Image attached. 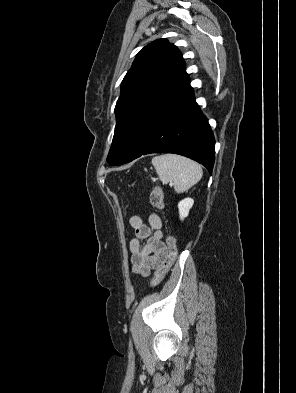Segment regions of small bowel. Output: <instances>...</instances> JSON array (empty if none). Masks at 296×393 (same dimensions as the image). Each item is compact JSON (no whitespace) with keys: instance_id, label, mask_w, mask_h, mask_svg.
I'll use <instances>...</instances> for the list:
<instances>
[{"instance_id":"c3829d8e","label":"small bowel","mask_w":296,"mask_h":393,"mask_svg":"<svg viewBox=\"0 0 296 393\" xmlns=\"http://www.w3.org/2000/svg\"><path fill=\"white\" fill-rule=\"evenodd\" d=\"M148 221L149 225L138 215L129 218L135 232V238L130 241L132 271L142 277L149 276L166 257L162 220L158 214L152 213Z\"/></svg>"}]
</instances>
